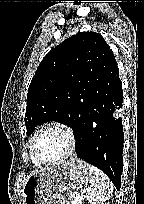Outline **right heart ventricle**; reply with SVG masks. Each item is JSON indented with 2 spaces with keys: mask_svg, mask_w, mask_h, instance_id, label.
<instances>
[{
  "mask_svg": "<svg viewBox=\"0 0 144 204\" xmlns=\"http://www.w3.org/2000/svg\"><path fill=\"white\" fill-rule=\"evenodd\" d=\"M30 151H31V146H30ZM31 159H32V162H33L35 165H39V164L33 159L32 155H31Z\"/></svg>",
  "mask_w": 144,
  "mask_h": 204,
  "instance_id": "right-heart-ventricle-1",
  "label": "right heart ventricle"
}]
</instances>
